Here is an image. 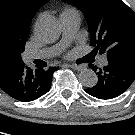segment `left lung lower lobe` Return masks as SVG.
Returning <instances> with one entry per match:
<instances>
[{
  "label": "left lung lower lobe",
  "mask_w": 135,
  "mask_h": 135,
  "mask_svg": "<svg viewBox=\"0 0 135 135\" xmlns=\"http://www.w3.org/2000/svg\"><path fill=\"white\" fill-rule=\"evenodd\" d=\"M89 67L97 71L98 82L95 86L85 89L89 95L98 99H113L124 93L135 80V68L119 62L108 61L103 68L93 64Z\"/></svg>",
  "instance_id": "0a47b994"
}]
</instances>
